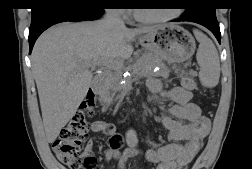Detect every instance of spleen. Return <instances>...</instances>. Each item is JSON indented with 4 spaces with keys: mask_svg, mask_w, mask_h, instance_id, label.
Returning <instances> with one entry per match:
<instances>
[{
    "mask_svg": "<svg viewBox=\"0 0 252 169\" xmlns=\"http://www.w3.org/2000/svg\"><path fill=\"white\" fill-rule=\"evenodd\" d=\"M194 35L199 42L196 59L200 66L199 79L209 88L217 86L220 78V61L214 43L205 34L194 30Z\"/></svg>",
    "mask_w": 252,
    "mask_h": 169,
    "instance_id": "1",
    "label": "spleen"
}]
</instances>
